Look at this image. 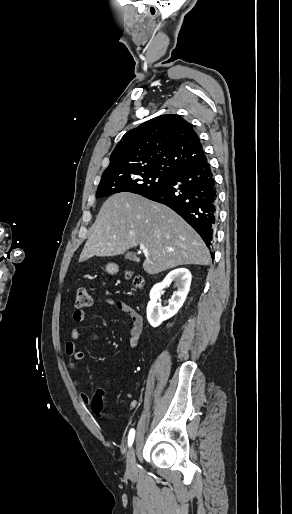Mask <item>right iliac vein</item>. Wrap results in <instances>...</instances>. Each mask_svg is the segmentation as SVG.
Returning <instances> with one entry per match:
<instances>
[{"mask_svg":"<svg viewBox=\"0 0 292 514\" xmlns=\"http://www.w3.org/2000/svg\"><path fill=\"white\" fill-rule=\"evenodd\" d=\"M137 472V464L135 458V449L131 447L127 454V465H126V473L129 477H134Z\"/></svg>","mask_w":292,"mask_h":514,"instance_id":"right-iliac-vein-1","label":"right iliac vein"}]
</instances>
